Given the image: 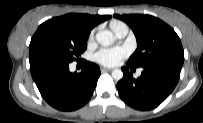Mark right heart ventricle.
I'll use <instances>...</instances> for the list:
<instances>
[{
	"label": "right heart ventricle",
	"mask_w": 203,
	"mask_h": 123,
	"mask_svg": "<svg viewBox=\"0 0 203 123\" xmlns=\"http://www.w3.org/2000/svg\"><path fill=\"white\" fill-rule=\"evenodd\" d=\"M120 23H122V22H120V21H112L111 22V28H114L115 26H117Z\"/></svg>",
	"instance_id": "obj_1"
}]
</instances>
